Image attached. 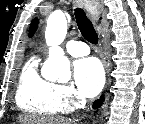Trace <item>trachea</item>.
Listing matches in <instances>:
<instances>
[{
	"label": "trachea",
	"mask_w": 145,
	"mask_h": 124,
	"mask_svg": "<svg viewBox=\"0 0 145 124\" xmlns=\"http://www.w3.org/2000/svg\"><path fill=\"white\" fill-rule=\"evenodd\" d=\"M75 18L77 26L82 34V36L90 43H98V35L92 25L90 19L86 16V13L81 8L75 9Z\"/></svg>",
	"instance_id": "3493384b"
}]
</instances>
